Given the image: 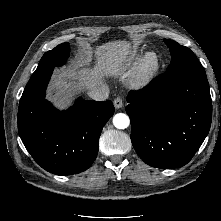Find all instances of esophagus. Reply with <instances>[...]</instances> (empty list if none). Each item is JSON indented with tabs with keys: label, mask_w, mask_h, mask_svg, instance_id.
I'll return each instance as SVG.
<instances>
[{
	"label": "esophagus",
	"mask_w": 221,
	"mask_h": 221,
	"mask_svg": "<svg viewBox=\"0 0 221 221\" xmlns=\"http://www.w3.org/2000/svg\"><path fill=\"white\" fill-rule=\"evenodd\" d=\"M113 104H114V107H115L116 109L121 108V107L123 106V100H122V98H121V97L115 98Z\"/></svg>",
	"instance_id": "34e87169"
}]
</instances>
